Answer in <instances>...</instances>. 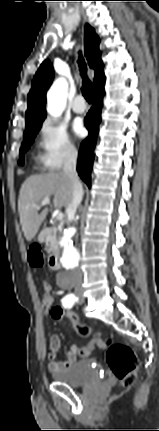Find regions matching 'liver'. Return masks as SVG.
I'll return each mask as SVG.
<instances>
[{"mask_svg": "<svg viewBox=\"0 0 159 431\" xmlns=\"http://www.w3.org/2000/svg\"><path fill=\"white\" fill-rule=\"evenodd\" d=\"M72 193L73 183L64 172L32 175L24 181L18 199V212L27 241L35 237L48 214L47 208L38 214L36 206H39L44 198L53 195L55 208H67L72 200Z\"/></svg>", "mask_w": 159, "mask_h": 431, "instance_id": "1", "label": "liver"}]
</instances>
